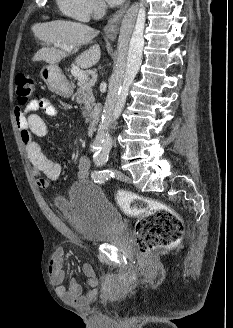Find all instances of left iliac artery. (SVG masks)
<instances>
[{
    "label": "left iliac artery",
    "mask_w": 233,
    "mask_h": 328,
    "mask_svg": "<svg viewBox=\"0 0 233 328\" xmlns=\"http://www.w3.org/2000/svg\"><path fill=\"white\" fill-rule=\"evenodd\" d=\"M109 151H110V147H103L94 153L93 160L97 166H103L108 161ZM109 176H110L109 172L104 170L94 171L92 173L93 181L100 184L104 183Z\"/></svg>",
    "instance_id": "1"
}]
</instances>
